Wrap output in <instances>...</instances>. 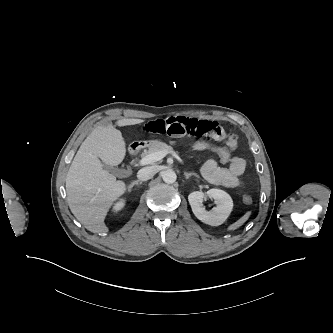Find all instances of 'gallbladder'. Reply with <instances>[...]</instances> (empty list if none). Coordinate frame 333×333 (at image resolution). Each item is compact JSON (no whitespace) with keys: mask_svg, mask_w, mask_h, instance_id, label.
Masks as SVG:
<instances>
[{"mask_svg":"<svg viewBox=\"0 0 333 333\" xmlns=\"http://www.w3.org/2000/svg\"><path fill=\"white\" fill-rule=\"evenodd\" d=\"M103 167L108 170L109 172H111L112 174H115L117 176H120L122 174L123 169L122 168H118L116 166H110L107 164H103Z\"/></svg>","mask_w":333,"mask_h":333,"instance_id":"1","label":"gallbladder"}]
</instances>
